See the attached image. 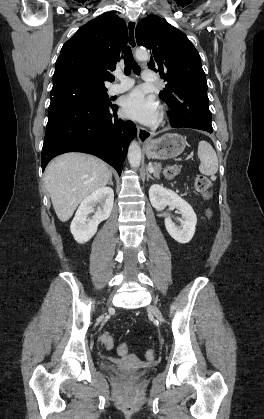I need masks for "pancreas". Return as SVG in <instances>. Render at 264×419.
I'll use <instances>...</instances> for the list:
<instances>
[{
    "instance_id": "obj_1",
    "label": "pancreas",
    "mask_w": 264,
    "mask_h": 419,
    "mask_svg": "<svg viewBox=\"0 0 264 419\" xmlns=\"http://www.w3.org/2000/svg\"><path fill=\"white\" fill-rule=\"evenodd\" d=\"M153 169H154V171H153V175H154L156 178H159V177H160V172H161V170H162V166H161V164H154Z\"/></svg>"
}]
</instances>
